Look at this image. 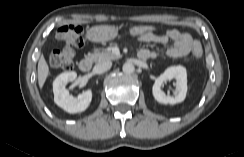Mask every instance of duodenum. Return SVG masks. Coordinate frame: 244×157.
I'll use <instances>...</instances> for the list:
<instances>
[{
  "mask_svg": "<svg viewBox=\"0 0 244 157\" xmlns=\"http://www.w3.org/2000/svg\"><path fill=\"white\" fill-rule=\"evenodd\" d=\"M79 68L83 72H89L92 68V58L85 57L81 59L79 62Z\"/></svg>",
  "mask_w": 244,
  "mask_h": 157,
  "instance_id": "duodenum-1",
  "label": "duodenum"
}]
</instances>
